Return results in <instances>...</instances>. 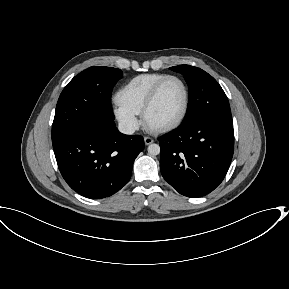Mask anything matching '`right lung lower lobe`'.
Listing matches in <instances>:
<instances>
[{
    "instance_id": "98d812e1",
    "label": "right lung lower lobe",
    "mask_w": 289,
    "mask_h": 289,
    "mask_svg": "<svg viewBox=\"0 0 289 289\" xmlns=\"http://www.w3.org/2000/svg\"><path fill=\"white\" fill-rule=\"evenodd\" d=\"M143 148L141 136L120 133L114 122L87 124L53 143L64 180L77 193L93 199L109 197L128 183Z\"/></svg>"
}]
</instances>
